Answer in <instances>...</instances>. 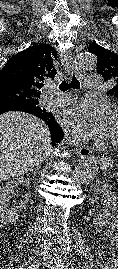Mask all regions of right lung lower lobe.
<instances>
[{"label":"right lung lower lobe","mask_w":118,"mask_h":269,"mask_svg":"<svg viewBox=\"0 0 118 269\" xmlns=\"http://www.w3.org/2000/svg\"><path fill=\"white\" fill-rule=\"evenodd\" d=\"M8 111H22L33 114V108L27 104L20 102H6L0 103V115ZM63 138V131L58 126L56 134L52 136V139L60 141Z\"/></svg>","instance_id":"right-lung-lower-lobe-1"}]
</instances>
